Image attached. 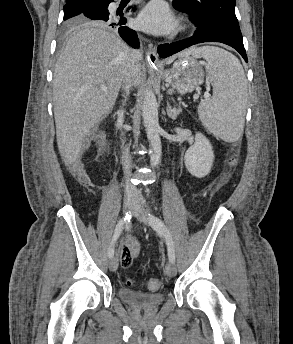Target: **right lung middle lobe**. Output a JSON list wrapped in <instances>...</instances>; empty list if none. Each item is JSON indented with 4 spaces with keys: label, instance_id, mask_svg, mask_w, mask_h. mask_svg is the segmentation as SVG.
I'll return each instance as SVG.
<instances>
[{
    "label": "right lung middle lobe",
    "instance_id": "dd1d6c3e",
    "mask_svg": "<svg viewBox=\"0 0 293 344\" xmlns=\"http://www.w3.org/2000/svg\"><path fill=\"white\" fill-rule=\"evenodd\" d=\"M94 1L96 0L65 5L64 29L67 31L73 27L94 25V23H91L90 20L81 15Z\"/></svg>",
    "mask_w": 293,
    "mask_h": 344
}]
</instances>
